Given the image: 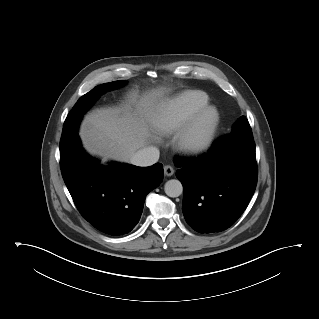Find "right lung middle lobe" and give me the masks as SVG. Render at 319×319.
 Segmentation results:
<instances>
[{"label":"right lung middle lobe","mask_w":319,"mask_h":319,"mask_svg":"<svg viewBox=\"0 0 319 319\" xmlns=\"http://www.w3.org/2000/svg\"><path fill=\"white\" fill-rule=\"evenodd\" d=\"M124 84V81H114L111 83L96 86L87 94L83 95L75 104L73 109L67 115L64 122L62 137L60 141V149L65 147L76 135L79 123L83 113L91 107V105L105 92L118 88Z\"/></svg>","instance_id":"right-lung-middle-lobe-1"}]
</instances>
